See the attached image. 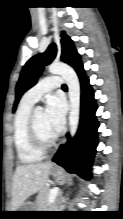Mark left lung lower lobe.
I'll list each match as a JSON object with an SVG mask.
<instances>
[{
	"instance_id": "1",
	"label": "left lung lower lobe",
	"mask_w": 123,
	"mask_h": 219,
	"mask_svg": "<svg viewBox=\"0 0 123 219\" xmlns=\"http://www.w3.org/2000/svg\"><path fill=\"white\" fill-rule=\"evenodd\" d=\"M75 70L81 81L80 126L74 139L67 134L68 142L60 146L52 161L68 172L77 173L88 180L91 177V166L98 143V122L95 117L97 106L83 64L80 63Z\"/></svg>"
}]
</instances>
